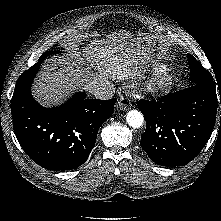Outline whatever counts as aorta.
<instances>
[{"label": "aorta", "mask_w": 221, "mask_h": 221, "mask_svg": "<svg viewBox=\"0 0 221 221\" xmlns=\"http://www.w3.org/2000/svg\"><path fill=\"white\" fill-rule=\"evenodd\" d=\"M126 121L132 128H139L144 123V117L140 111L130 110L126 115Z\"/></svg>", "instance_id": "1"}]
</instances>
